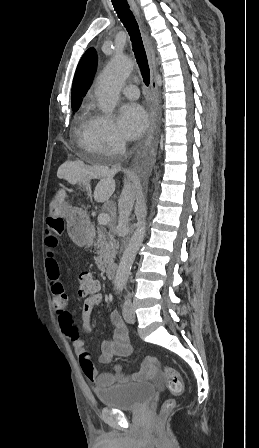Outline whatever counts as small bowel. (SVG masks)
I'll return each mask as SVG.
<instances>
[{"mask_svg": "<svg viewBox=\"0 0 259 448\" xmlns=\"http://www.w3.org/2000/svg\"><path fill=\"white\" fill-rule=\"evenodd\" d=\"M64 225L59 219H49L44 233L45 268L50 281V289L53 295V303L56 309L59 326L63 333L71 340L76 354L79 357L81 368L85 376L100 388L111 386L117 382L144 381L158 377V360L147 357L140 371L130 376L124 375L121 366L114 367L113 372H99L90 360L85 349L84 336L74 326L72 316L67 309L68 299L60 278V268L57 258V246L63 233ZM103 300L101 293L89 296L82 307L81 329L84 334L92 332L91 314L93 308ZM111 323L114 326L113 334L101 344L99 361L109 364L115 355L129 356L132 348L129 343L127 328L121 316L113 311L110 314Z\"/></svg>", "mask_w": 259, "mask_h": 448, "instance_id": "obj_1", "label": "small bowel"}]
</instances>
